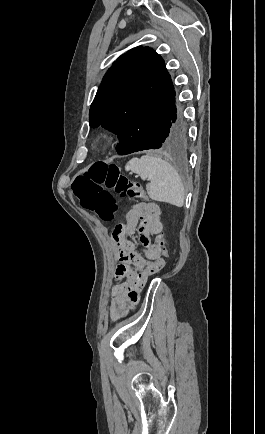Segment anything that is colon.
<instances>
[{"label":"colon","mask_w":265,"mask_h":434,"mask_svg":"<svg viewBox=\"0 0 265 434\" xmlns=\"http://www.w3.org/2000/svg\"><path fill=\"white\" fill-rule=\"evenodd\" d=\"M86 172H77L73 202H80L83 208L94 212L100 219L112 222L118 211L112 193L127 200L141 199L145 192L141 184L128 179L117 165L88 164ZM155 242L162 249L159 255L166 259V241L163 233L156 234Z\"/></svg>","instance_id":"obj_1"}]
</instances>
